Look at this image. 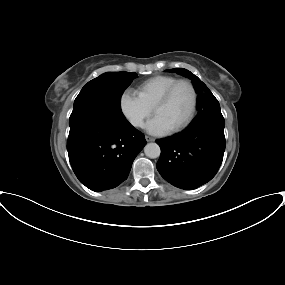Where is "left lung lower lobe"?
<instances>
[{
    "label": "left lung lower lobe",
    "mask_w": 285,
    "mask_h": 285,
    "mask_svg": "<svg viewBox=\"0 0 285 285\" xmlns=\"http://www.w3.org/2000/svg\"><path fill=\"white\" fill-rule=\"evenodd\" d=\"M224 118L205 115L184 131L156 140L161 148L157 170L172 185L195 189L217 173L225 151Z\"/></svg>",
    "instance_id": "left-lung-lower-lobe-1"
}]
</instances>
